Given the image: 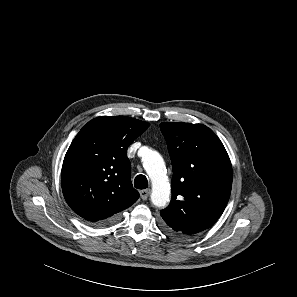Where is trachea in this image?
<instances>
[{
    "label": "trachea",
    "mask_w": 297,
    "mask_h": 297,
    "mask_svg": "<svg viewBox=\"0 0 297 297\" xmlns=\"http://www.w3.org/2000/svg\"><path fill=\"white\" fill-rule=\"evenodd\" d=\"M134 187L137 189H146L148 187L147 178L144 175H137L134 180Z\"/></svg>",
    "instance_id": "1"
}]
</instances>
